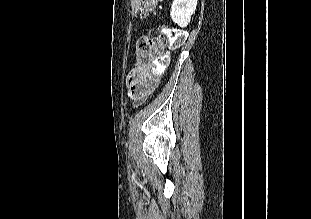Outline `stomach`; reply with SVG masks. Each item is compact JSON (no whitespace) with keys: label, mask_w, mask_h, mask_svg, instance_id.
Wrapping results in <instances>:
<instances>
[{"label":"stomach","mask_w":311,"mask_h":219,"mask_svg":"<svg viewBox=\"0 0 311 219\" xmlns=\"http://www.w3.org/2000/svg\"><path fill=\"white\" fill-rule=\"evenodd\" d=\"M147 2V8L149 11H152L154 7L156 6L158 0H146Z\"/></svg>","instance_id":"1"}]
</instances>
